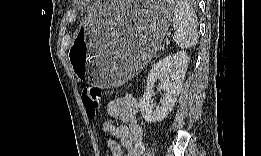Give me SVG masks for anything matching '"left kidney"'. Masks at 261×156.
Masks as SVG:
<instances>
[{
    "instance_id": "5707ae66",
    "label": "left kidney",
    "mask_w": 261,
    "mask_h": 156,
    "mask_svg": "<svg viewBox=\"0 0 261 156\" xmlns=\"http://www.w3.org/2000/svg\"><path fill=\"white\" fill-rule=\"evenodd\" d=\"M188 55L179 51L158 61L147 77V87L140 101V110L148 123L162 121L173 108L182 89L188 67ZM159 80L164 91L160 105L153 110L151 103L154 83Z\"/></svg>"
}]
</instances>
